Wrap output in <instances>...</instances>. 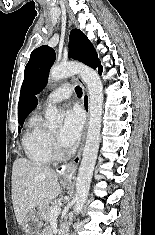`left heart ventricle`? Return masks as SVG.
<instances>
[{
    "mask_svg": "<svg viewBox=\"0 0 155 235\" xmlns=\"http://www.w3.org/2000/svg\"><path fill=\"white\" fill-rule=\"evenodd\" d=\"M58 132H59V129H58V128L52 130V133H53L54 135H57Z\"/></svg>",
    "mask_w": 155,
    "mask_h": 235,
    "instance_id": "1",
    "label": "left heart ventricle"
}]
</instances>
